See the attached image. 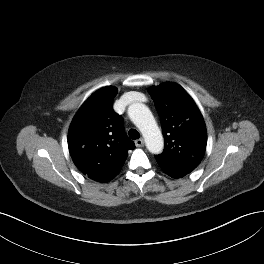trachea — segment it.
Masks as SVG:
<instances>
[{
  "instance_id": "3493384b",
  "label": "trachea",
  "mask_w": 264,
  "mask_h": 264,
  "mask_svg": "<svg viewBox=\"0 0 264 264\" xmlns=\"http://www.w3.org/2000/svg\"><path fill=\"white\" fill-rule=\"evenodd\" d=\"M129 137L132 139V140H136V139H139L140 137V134L137 130L135 129H130L129 132Z\"/></svg>"
}]
</instances>
